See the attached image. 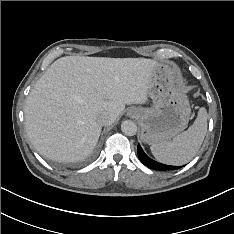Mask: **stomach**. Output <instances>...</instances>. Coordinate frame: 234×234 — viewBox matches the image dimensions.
I'll use <instances>...</instances> for the list:
<instances>
[{"label": "stomach", "instance_id": "obj_1", "mask_svg": "<svg viewBox=\"0 0 234 234\" xmlns=\"http://www.w3.org/2000/svg\"><path fill=\"white\" fill-rule=\"evenodd\" d=\"M150 108H140L138 122L141 139L148 144H159L182 132L188 124L190 105L178 76L168 65L157 63L150 82Z\"/></svg>", "mask_w": 234, "mask_h": 234}]
</instances>
